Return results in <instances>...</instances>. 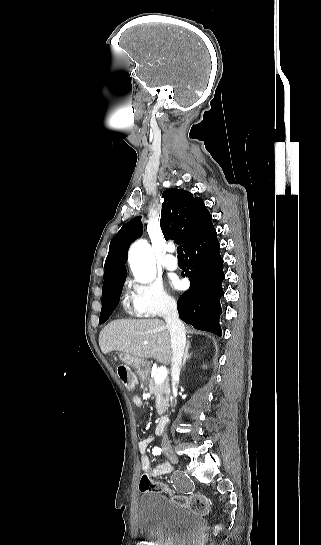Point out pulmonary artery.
<instances>
[{"mask_svg": "<svg viewBox=\"0 0 321 545\" xmlns=\"http://www.w3.org/2000/svg\"><path fill=\"white\" fill-rule=\"evenodd\" d=\"M162 265L163 267L166 269V270H169V271H174L178 268V262L177 260H164L162 262Z\"/></svg>", "mask_w": 321, "mask_h": 545, "instance_id": "1", "label": "pulmonary artery"}]
</instances>
